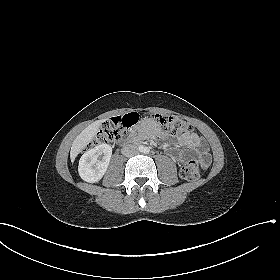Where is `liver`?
<instances>
[{"instance_id":"1","label":"liver","mask_w":280,"mask_h":280,"mask_svg":"<svg viewBox=\"0 0 280 280\" xmlns=\"http://www.w3.org/2000/svg\"><path fill=\"white\" fill-rule=\"evenodd\" d=\"M103 120H98L86 127L73 141L70 158L74 162L76 156L89 144V142L96 136L99 127Z\"/></svg>"}]
</instances>
